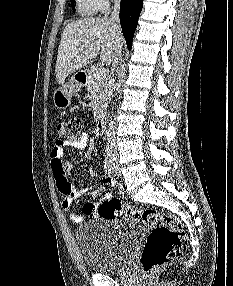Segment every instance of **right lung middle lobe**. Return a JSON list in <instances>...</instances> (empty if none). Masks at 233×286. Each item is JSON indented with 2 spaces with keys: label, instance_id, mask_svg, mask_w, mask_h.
Here are the masks:
<instances>
[{
  "label": "right lung middle lobe",
  "instance_id": "obj_1",
  "mask_svg": "<svg viewBox=\"0 0 233 286\" xmlns=\"http://www.w3.org/2000/svg\"><path fill=\"white\" fill-rule=\"evenodd\" d=\"M70 1H71V5H72V8H73V11H75L73 0H70Z\"/></svg>",
  "mask_w": 233,
  "mask_h": 286
}]
</instances>
